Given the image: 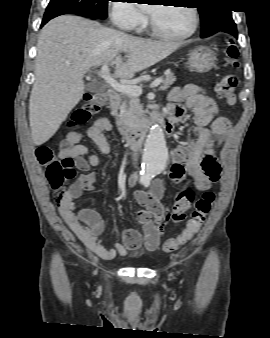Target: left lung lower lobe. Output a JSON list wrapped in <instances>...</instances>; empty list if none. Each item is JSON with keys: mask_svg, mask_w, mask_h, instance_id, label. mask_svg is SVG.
Masks as SVG:
<instances>
[{"mask_svg": "<svg viewBox=\"0 0 270 338\" xmlns=\"http://www.w3.org/2000/svg\"><path fill=\"white\" fill-rule=\"evenodd\" d=\"M223 31L230 33L237 38V28L235 23L225 26Z\"/></svg>", "mask_w": 270, "mask_h": 338, "instance_id": "1", "label": "left lung lower lobe"}]
</instances>
